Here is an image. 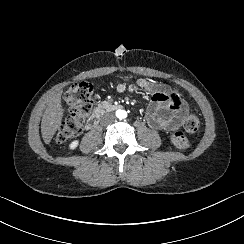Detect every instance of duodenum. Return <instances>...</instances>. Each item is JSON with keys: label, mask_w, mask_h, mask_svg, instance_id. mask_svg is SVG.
Masks as SVG:
<instances>
[{"label": "duodenum", "mask_w": 244, "mask_h": 244, "mask_svg": "<svg viewBox=\"0 0 244 244\" xmlns=\"http://www.w3.org/2000/svg\"><path fill=\"white\" fill-rule=\"evenodd\" d=\"M122 106L121 104H117V103H100L98 109L96 110L94 117L91 119L90 122V128H93L96 122V119L99 118L103 112H106L108 110H118L120 109Z\"/></svg>", "instance_id": "410a0bca"}]
</instances>
